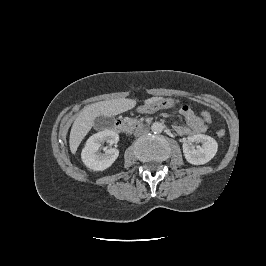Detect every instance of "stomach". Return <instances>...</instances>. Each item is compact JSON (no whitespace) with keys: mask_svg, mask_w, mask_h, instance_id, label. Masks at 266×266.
I'll use <instances>...</instances> for the list:
<instances>
[{"mask_svg":"<svg viewBox=\"0 0 266 266\" xmlns=\"http://www.w3.org/2000/svg\"><path fill=\"white\" fill-rule=\"evenodd\" d=\"M170 105V101L168 100H161L153 103L145 104L141 110L147 113H153L161 108L167 107Z\"/></svg>","mask_w":266,"mask_h":266,"instance_id":"stomach-1","label":"stomach"}]
</instances>
